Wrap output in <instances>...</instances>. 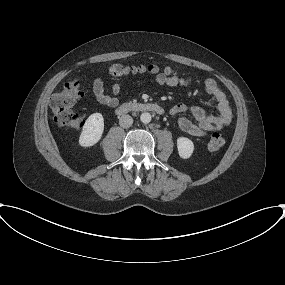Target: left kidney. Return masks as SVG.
<instances>
[{
    "label": "left kidney",
    "instance_id": "1",
    "mask_svg": "<svg viewBox=\"0 0 285 285\" xmlns=\"http://www.w3.org/2000/svg\"><path fill=\"white\" fill-rule=\"evenodd\" d=\"M177 148L179 156L183 159H188L193 154L194 144L186 137H179L177 139Z\"/></svg>",
    "mask_w": 285,
    "mask_h": 285
}]
</instances>
